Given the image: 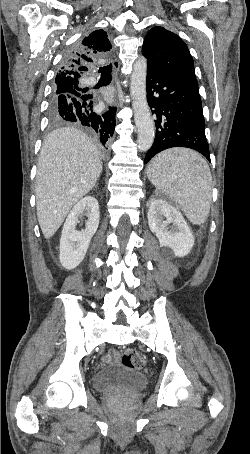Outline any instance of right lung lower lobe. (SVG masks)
Here are the masks:
<instances>
[{
	"label": "right lung lower lobe",
	"mask_w": 250,
	"mask_h": 454,
	"mask_svg": "<svg viewBox=\"0 0 250 454\" xmlns=\"http://www.w3.org/2000/svg\"><path fill=\"white\" fill-rule=\"evenodd\" d=\"M92 103L91 95L80 99L73 97L69 101L67 95L61 94L56 102L51 103L50 109L63 121L76 122L84 126L106 146L114 133L116 109L109 107L108 111L100 114L92 110Z\"/></svg>",
	"instance_id": "right-lung-lower-lobe-1"
}]
</instances>
